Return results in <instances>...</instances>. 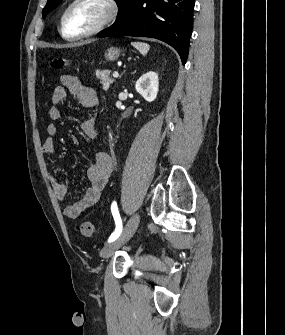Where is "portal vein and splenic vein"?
Masks as SVG:
<instances>
[{
	"mask_svg": "<svg viewBox=\"0 0 285 335\" xmlns=\"http://www.w3.org/2000/svg\"><path fill=\"white\" fill-rule=\"evenodd\" d=\"M113 78H118L119 74L118 72H114V74H112Z\"/></svg>",
	"mask_w": 285,
	"mask_h": 335,
	"instance_id": "18ae733b",
	"label": "portal vein and splenic vein"
}]
</instances>
